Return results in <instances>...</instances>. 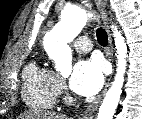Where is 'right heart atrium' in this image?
Segmentation results:
<instances>
[{"label":"right heart atrium","mask_w":142,"mask_h":119,"mask_svg":"<svg viewBox=\"0 0 142 119\" xmlns=\"http://www.w3.org/2000/svg\"><path fill=\"white\" fill-rule=\"evenodd\" d=\"M57 87L59 93H62L64 91L65 85L61 78H57Z\"/></svg>","instance_id":"obj_1"}]
</instances>
